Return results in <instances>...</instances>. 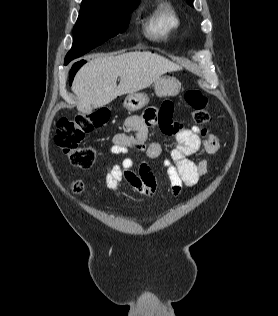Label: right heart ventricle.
<instances>
[{
    "label": "right heart ventricle",
    "instance_id": "obj_1",
    "mask_svg": "<svg viewBox=\"0 0 278 316\" xmlns=\"http://www.w3.org/2000/svg\"><path fill=\"white\" fill-rule=\"evenodd\" d=\"M181 22L171 3L160 1L143 19L145 35L155 41H164L174 35Z\"/></svg>",
    "mask_w": 278,
    "mask_h": 316
}]
</instances>
